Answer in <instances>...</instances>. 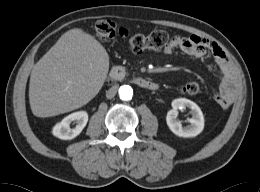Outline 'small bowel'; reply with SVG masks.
I'll return each mask as SVG.
<instances>
[{
  "instance_id": "1",
  "label": "small bowel",
  "mask_w": 260,
  "mask_h": 192,
  "mask_svg": "<svg viewBox=\"0 0 260 192\" xmlns=\"http://www.w3.org/2000/svg\"><path fill=\"white\" fill-rule=\"evenodd\" d=\"M174 50H180L195 59L211 53L221 74L219 92L214 95V100L222 108H227L233 103L237 94L235 75L226 54L215 42L199 35L175 36L164 52L170 54Z\"/></svg>"
}]
</instances>
